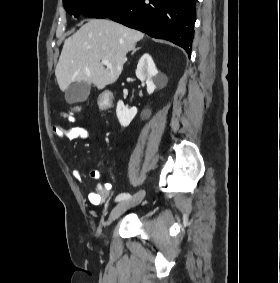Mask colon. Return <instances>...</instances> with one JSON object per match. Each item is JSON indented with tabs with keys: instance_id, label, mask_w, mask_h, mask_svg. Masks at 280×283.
Masks as SVG:
<instances>
[{
	"instance_id": "1",
	"label": "colon",
	"mask_w": 280,
	"mask_h": 283,
	"mask_svg": "<svg viewBox=\"0 0 280 283\" xmlns=\"http://www.w3.org/2000/svg\"><path fill=\"white\" fill-rule=\"evenodd\" d=\"M112 102V95L109 94V93H104L101 95V98H100V101H99V104L100 106H102L100 108V111L101 112H109L110 111V108L109 107H104V106H107L108 104H110ZM72 111L73 112H76L77 111V108L76 107H73L72 108Z\"/></svg>"
}]
</instances>
